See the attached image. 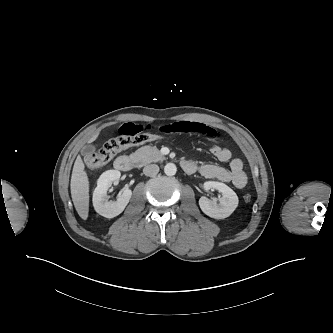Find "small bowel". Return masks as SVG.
<instances>
[{
    "label": "small bowel",
    "mask_w": 333,
    "mask_h": 333,
    "mask_svg": "<svg viewBox=\"0 0 333 333\" xmlns=\"http://www.w3.org/2000/svg\"><path fill=\"white\" fill-rule=\"evenodd\" d=\"M150 125H141L136 123H125L120 126L119 132L122 136H134L142 133L145 130L153 129ZM158 129L166 134L185 133V134H201L209 138L217 136L216 131L205 124L191 121H176ZM212 155L220 162H229V167L225 168L215 164L198 165L193 161H188L192 168L186 170L188 173L199 172L202 176L208 179H216L225 183H232L235 187L242 189L246 186L248 177L244 170L243 163L240 159H233L229 149L220 146H212L210 148Z\"/></svg>",
    "instance_id": "1"
}]
</instances>
